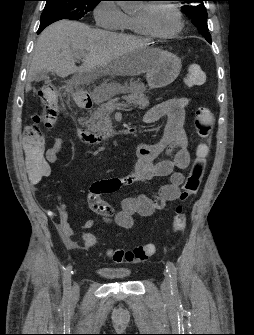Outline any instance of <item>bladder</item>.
Instances as JSON below:
<instances>
[{"instance_id": "obj_1", "label": "bladder", "mask_w": 254, "mask_h": 335, "mask_svg": "<svg viewBox=\"0 0 254 335\" xmlns=\"http://www.w3.org/2000/svg\"><path fill=\"white\" fill-rule=\"evenodd\" d=\"M97 273L109 280H124L131 276V272L126 269H119L113 267H99Z\"/></svg>"}]
</instances>
